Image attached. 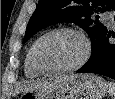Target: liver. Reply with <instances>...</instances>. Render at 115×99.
<instances>
[{
    "mask_svg": "<svg viewBox=\"0 0 115 99\" xmlns=\"http://www.w3.org/2000/svg\"><path fill=\"white\" fill-rule=\"evenodd\" d=\"M67 77L68 76H60L50 82H37V83L28 84V85L24 86L23 89L25 91H31V90L46 88V87H49V86H52V85H55V84L61 82L62 80H64Z\"/></svg>",
    "mask_w": 115,
    "mask_h": 99,
    "instance_id": "6515ba94",
    "label": "liver"
}]
</instances>
